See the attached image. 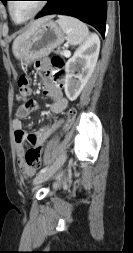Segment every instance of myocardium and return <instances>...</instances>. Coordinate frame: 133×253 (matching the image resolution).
<instances>
[{"label": "myocardium", "instance_id": "f54148a6", "mask_svg": "<svg viewBox=\"0 0 133 253\" xmlns=\"http://www.w3.org/2000/svg\"><path fill=\"white\" fill-rule=\"evenodd\" d=\"M44 7H45V1L44 0L39 1L37 8L28 17H26L23 20L18 21L14 18L13 13H12V1L8 3V11H9L10 17L17 24H23L31 20L32 18L37 16L43 10Z\"/></svg>", "mask_w": 133, "mask_h": 253}]
</instances>
